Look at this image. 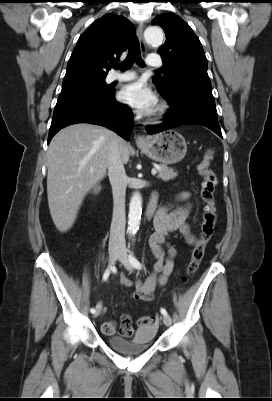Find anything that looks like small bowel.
<instances>
[{
    "mask_svg": "<svg viewBox=\"0 0 272 401\" xmlns=\"http://www.w3.org/2000/svg\"><path fill=\"white\" fill-rule=\"evenodd\" d=\"M189 197L188 193H182L180 199L186 201ZM191 206L185 203L175 209H172L171 204L161 206L154 218L155 232L149 238V245L157 258L154 265V271L144 281L137 280L133 282L124 274L120 276V284L123 287L135 286L136 290L131 295V300L134 301H151L156 288L167 282L169 275L174 267V260L177 255L176 248L167 242L168 235L172 233L182 234L187 243L194 245L198 242L197 237L192 233L187 222ZM100 311L102 305H97ZM146 329H156L155 325H139L135 329L132 325L131 317L124 313L120 319V327L117 330V323L114 320H108L103 323V332L106 335H114L117 332L125 338H132Z\"/></svg>",
    "mask_w": 272,
    "mask_h": 401,
    "instance_id": "c3829d8e",
    "label": "small bowel"
}]
</instances>
